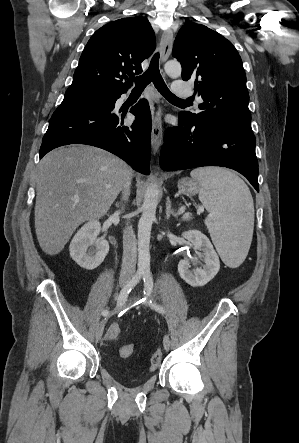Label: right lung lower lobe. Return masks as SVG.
I'll list each match as a JSON object with an SVG mask.
<instances>
[{"label": "right lung lower lobe", "instance_id": "right-lung-lower-lobe-1", "mask_svg": "<svg viewBox=\"0 0 299 443\" xmlns=\"http://www.w3.org/2000/svg\"><path fill=\"white\" fill-rule=\"evenodd\" d=\"M116 93V100L121 94ZM112 105L64 101L53 113L40 148V158L59 146L86 144L105 149L125 160L136 171L150 173L151 114L148 102L142 99L130 112L135 121L124 126L126 112Z\"/></svg>", "mask_w": 299, "mask_h": 443}]
</instances>
